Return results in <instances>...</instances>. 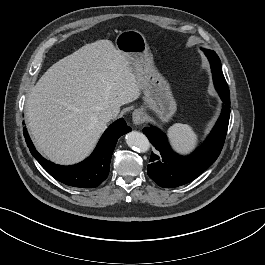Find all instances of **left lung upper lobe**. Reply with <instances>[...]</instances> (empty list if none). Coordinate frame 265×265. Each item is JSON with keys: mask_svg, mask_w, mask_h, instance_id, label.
Listing matches in <instances>:
<instances>
[{"mask_svg": "<svg viewBox=\"0 0 265 265\" xmlns=\"http://www.w3.org/2000/svg\"><path fill=\"white\" fill-rule=\"evenodd\" d=\"M205 55L209 59V62L214 63L216 68V74H213L214 85L218 90H223L225 93H229V88L222 73L221 62L217 54L213 50H204Z\"/></svg>", "mask_w": 265, "mask_h": 265, "instance_id": "5c2ea615", "label": "left lung upper lobe"}]
</instances>
